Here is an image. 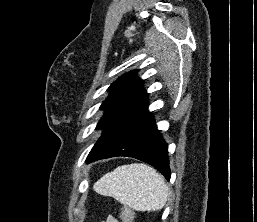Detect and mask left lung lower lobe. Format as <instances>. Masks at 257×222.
<instances>
[{
  "instance_id": "0a47b994",
  "label": "left lung lower lobe",
  "mask_w": 257,
  "mask_h": 222,
  "mask_svg": "<svg viewBox=\"0 0 257 222\" xmlns=\"http://www.w3.org/2000/svg\"><path fill=\"white\" fill-rule=\"evenodd\" d=\"M114 156L144 161L170 180L168 145L157 130L154 116L148 109L128 122L100 151L88 157L87 162Z\"/></svg>"
}]
</instances>
